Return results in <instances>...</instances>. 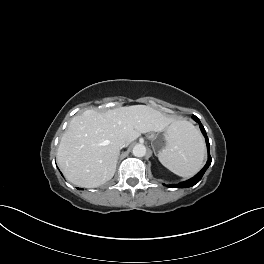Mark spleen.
<instances>
[{"mask_svg": "<svg viewBox=\"0 0 264 264\" xmlns=\"http://www.w3.org/2000/svg\"><path fill=\"white\" fill-rule=\"evenodd\" d=\"M205 144L198 129L188 121L175 124L169 144L159 152V161L181 177L196 174L203 163Z\"/></svg>", "mask_w": 264, "mask_h": 264, "instance_id": "3e777b00", "label": "spleen"}]
</instances>
